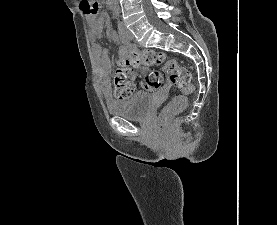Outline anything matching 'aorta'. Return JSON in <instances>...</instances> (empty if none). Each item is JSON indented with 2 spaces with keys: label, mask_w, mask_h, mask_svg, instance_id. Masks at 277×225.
I'll list each match as a JSON object with an SVG mask.
<instances>
[{
  "label": "aorta",
  "mask_w": 277,
  "mask_h": 225,
  "mask_svg": "<svg viewBox=\"0 0 277 225\" xmlns=\"http://www.w3.org/2000/svg\"><path fill=\"white\" fill-rule=\"evenodd\" d=\"M108 3L113 13L117 16L120 11L118 0H108Z\"/></svg>",
  "instance_id": "1"
}]
</instances>
